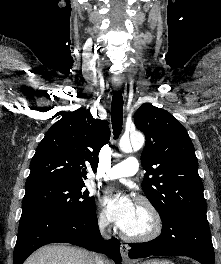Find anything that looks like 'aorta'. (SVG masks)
<instances>
[{
	"instance_id": "obj_1",
	"label": "aorta",
	"mask_w": 221,
	"mask_h": 264,
	"mask_svg": "<svg viewBox=\"0 0 221 264\" xmlns=\"http://www.w3.org/2000/svg\"><path fill=\"white\" fill-rule=\"evenodd\" d=\"M144 136L140 133H134L130 136V140L126 137H123L120 140L119 147L121 151L129 153L134 150L140 149L144 144Z\"/></svg>"
}]
</instances>
